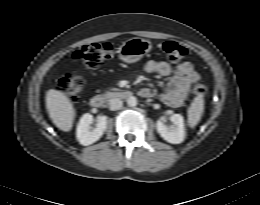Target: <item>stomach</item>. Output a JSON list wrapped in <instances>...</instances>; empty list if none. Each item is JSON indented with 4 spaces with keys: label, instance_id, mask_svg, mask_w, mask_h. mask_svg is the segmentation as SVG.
<instances>
[{
    "label": "stomach",
    "instance_id": "stomach-1",
    "mask_svg": "<svg viewBox=\"0 0 260 205\" xmlns=\"http://www.w3.org/2000/svg\"><path fill=\"white\" fill-rule=\"evenodd\" d=\"M152 49L150 41L142 38H131L123 42L119 48V57L126 63H134L140 60Z\"/></svg>",
    "mask_w": 260,
    "mask_h": 205
}]
</instances>
